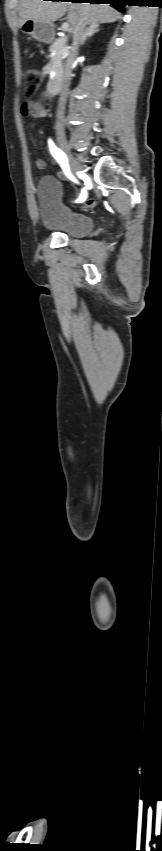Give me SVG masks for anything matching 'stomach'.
Returning <instances> with one entry per match:
<instances>
[{
  "label": "stomach",
  "instance_id": "0dacf381",
  "mask_svg": "<svg viewBox=\"0 0 162 851\" xmlns=\"http://www.w3.org/2000/svg\"><path fill=\"white\" fill-rule=\"evenodd\" d=\"M20 28L23 33L40 42L50 43L54 39V27L51 23H41L29 19Z\"/></svg>",
  "mask_w": 162,
  "mask_h": 851
}]
</instances>
